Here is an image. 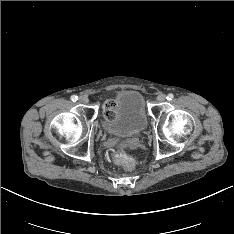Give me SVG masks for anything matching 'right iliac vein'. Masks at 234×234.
Segmentation results:
<instances>
[{"mask_svg":"<svg viewBox=\"0 0 234 234\" xmlns=\"http://www.w3.org/2000/svg\"><path fill=\"white\" fill-rule=\"evenodd\" d=\"M79 102L83 104H87L89 102V99L87 96H80Z\"/></svg>","mask_w":234,"mask_h":234,"instance_id":"right-iliac-vein-1","label":"right iliac vein"}]
</instances>
